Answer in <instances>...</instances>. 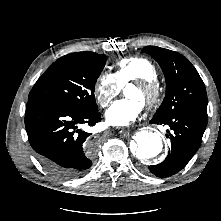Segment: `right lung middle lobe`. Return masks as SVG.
<instances>
[{
    "label": "right lung middle lobe",
    "mask_w": 221,
    "mask_h": 221,
    "mask_svg": "<svg viewBox=\"0 0 221 221\" xmlns=\"http://www.w3.org/2000/svg\"><path fill=\"white\" fill-rule=\"evenodd\" d=\"M105 63L104 54H67L52 63L37 80L28 100L39 99L83 113H96L95 84Z\"/></svg>",
    "instance_id": "1"
}]
</instances>
